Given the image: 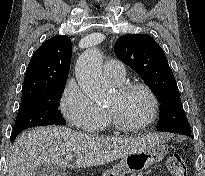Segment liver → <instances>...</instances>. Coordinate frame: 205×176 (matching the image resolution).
Returning a JSON list of instances; mask_svg holds the SVG:
<instances>
[{"instance_id":"6515ba94","label":"liver","mask_w":205,"mask_h":176,"mask_svg":"<svg viewBox=\"0 0 205 176\" xmlns=\"http://www.w3.org/2000/svg\"><path fill=\"white\" fill-rule=\"evenodd\" d=\"M159 134L122 139L79 133L66 127H38L14 141L8 176H33L41 164L66 167H93L124 158L162 143ZM74 153L76 162L69 165L63 157Z\"/></svg>"}]
</instances>
